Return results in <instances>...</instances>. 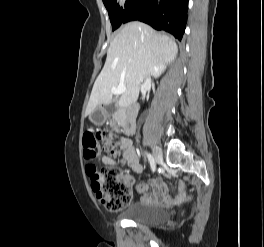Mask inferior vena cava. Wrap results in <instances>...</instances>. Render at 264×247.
Returning <instances> with one entry per match:
<instances>
[{"instance_id":"1","label":"inferior vena cava","mask_w":264,"mask_h":247,"mask_svg":"<svg viewBox=\"0 0 264 247\" xmlns=\"http://www.w3.org/2000/svg\"><path fill=\"white\" fill-rule=\"evenodd\" d=\"M147 81H149V79H148V78H146V82H147Z\"/></svg>"}]
</instances>
